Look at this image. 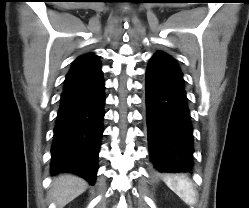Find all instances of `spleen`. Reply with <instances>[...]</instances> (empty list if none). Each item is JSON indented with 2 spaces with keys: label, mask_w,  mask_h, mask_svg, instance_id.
Instances as JSON below:
<instances>
[{
  "label": "spleen",
  "mask_w": 249,
  "mask_h": 208,
  "mask_svg": "<svg viewBox=\"0 0 249 208\" xmlns=\"http://www.w3.org/2000/svg\"><path fill=\"white\" fill-rule=\"evenodd\" d=\"M164 181L185 203L190 205L195 203V191L192 182L188 178L184 176L166 177Z\"/></svg>",
  "instance_id": "obj_1"
}]
</instances>
